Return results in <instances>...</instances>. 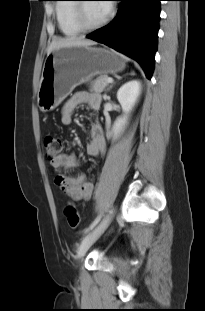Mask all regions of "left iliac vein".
<instances>
[{
    "mask_svg": "<svg viewBox=\"0 0 205 311\" xmlns=\"http://www.w3.org/2000/svg\"><path fill=\"white\" fill-rule=\"evenodd\" d=\"M113 211H111L81 242L78 250L76 258L81 260L88 249L94 244V242L104 233V231L109 226Z\"/></svg>",
    "mask_w": 205,
    "mask_h": 311,
    "instance_id": "left-iliac-vein-1",
    "label": "left iliac vein"
}]
</instances>
